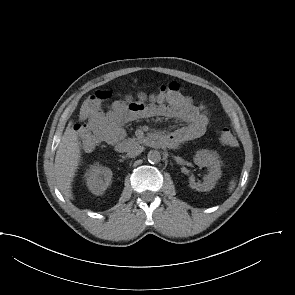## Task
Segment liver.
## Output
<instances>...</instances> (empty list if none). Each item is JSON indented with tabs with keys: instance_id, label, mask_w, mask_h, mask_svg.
I'll list each match as a JSON object with an SVG mask.
<instances>
[{
	"instance_id": "obj_1",
	"label": "liver",
	"mask_w": 295,
	"mask_h": 295,
	"mask_svg": "<svg viewBox=\"0 0 295 295\" xmlns=\"http://www.w3.org/2000/svg\"><path fill=\"white\" fill-rule=\"evenodd\" d=\"M69 123L56 152L55 175L59 190L67 199H73L72 182L81 160V149L76 132Z\"/></svg>"
}]
</instances>
